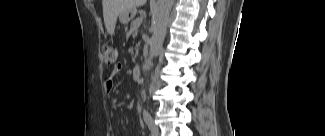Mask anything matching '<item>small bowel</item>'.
I'll return each instance as SVG.
<instances>
[{"label":"small bowel","mask_w":325,"mask_h":136,"mask_svg":"<svg viewBox=\"0 0 325 136\" xmlns=\"http://www.w3.org/2000/svg\"><path fill=\"white\" fill-rule=\"evenodd\" d=\"M120 71V66L115 67L111 75L104 82V90L106 93H110L114 87V77Z\"/></svg>","instance_id":"c3829d8e"}]
</instances>
